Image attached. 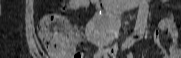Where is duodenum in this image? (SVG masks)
I'll use <instances>...</instances> for the list:
<instances>
[{
	"mask_svg": "<svg viewBox=\"0 0 181 58\" xmlns=\"http://www.w3.org/2000/svg\"><path fill=\"white\" fill-rule=\"evenodd\" d=\"M142 0H103L107 9L121 13L140 4Z\"/></svg>",
	"mask_w": 181,
	"mask_h": 58,
	"instance_id": "duodenum-1",
	"label": "duodenum"
}]
</instances>
